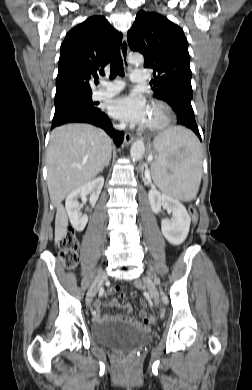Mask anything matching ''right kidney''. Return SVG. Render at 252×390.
Returning <instances> with one entry per match:
<instances>
[{"label": "right kidney", "mask_w": 252, "mask_h": 390, "mask_svg": "<svg viewBox=\"0 0 252 390\" xmlns=\"http://www.w3.org/2000/svg\"><path fill=\"white\" fill-rule=\"evenodd\" d=\"M103 185H104V178L100 176L82 185L81 187H79L78 189H76L75 191H73L67 196L65 207L70 222L75 230L79 232L83 231L88 222V216L87 215L81 216L79 212L78 198L85 197L87 194L90 193L89 201L90 204L94 206L99 198Z\"/></svg>", "instance_id": "1"}]
</instances>
